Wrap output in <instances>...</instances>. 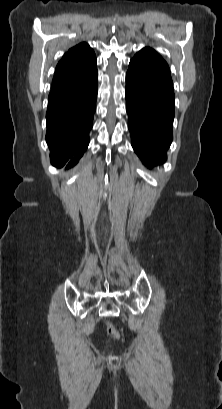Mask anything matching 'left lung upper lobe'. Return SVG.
<instances>
[{
  "label": "left lung upper lobe",
  "instance_id": "5c2ea615",
  "mask_svg": "<svg viewBox=\"0 0 222 409\" xmlns=\"http://www.w3.org/2000/svg\"><path fill=\"white\" fill-rule=\"evenodd\" d=\"M128 71L149 77L173 87L168 64L153 49L143 48L130 61Z\"/></svg>",
  "mask_w": 222,
  "mask_h": 409
}]
</instances>
